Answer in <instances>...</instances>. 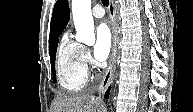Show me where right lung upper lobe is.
Returning <instances> with one entry per match:
<instances>
[{
  "label": "right lung upper lobe",
  "instance_id": "1",
  "mask_svg": "<svg viewBox=\"0 0 193 112\" xmlns=\"http://www.w3.org/2000/svg\"><path fill=\"white\" fill-rule=\"evenodd\" d=\"M70 19L68 0H57L51 19L49 49L58 40Z\"/></svg>",
  "mask_w": 193,
  "mask_h": 112
}]
</instances>
